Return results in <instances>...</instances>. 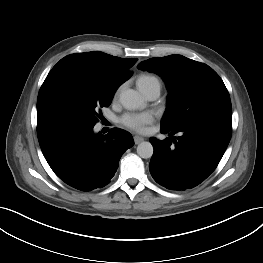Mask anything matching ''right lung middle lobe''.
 I'll return each instance as SVG.
<instances>
[{
  "label": "right lung middle lobe",
  "instance_id": "right-lung-middle-lobe-1",
  "mask_svg": "<svg viewBox=\"0 0 263 263\" xmlns=\"http://www.w3.org/2000/svg\"><path fill=\"white\" fill-rule=\"evenodd\" d=\"M120 77L82 65L54 66L37 99V131L54 126L94 127L108 107Z\"/></svg>",
  "mask_w": 263,
  "mask_h": 263
}]
</instances>
